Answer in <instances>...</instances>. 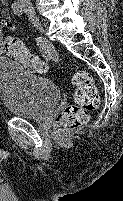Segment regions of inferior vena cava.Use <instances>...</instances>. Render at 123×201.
<instances>
[{
	"label": "inferior vena cava",
	"mask_w": 123,
	"mask_h": 201,
	"mask_svg": "<svg viewBox=\"0 0 123 201\" xmlns=\"http://www.w3.org/2000/svg\"><path fill=\"white\" fill-rule=\"evenodd\" d=\"M20 2H21L23 5H26V6H30V5H31L30 0H20Z\"/></svg>",
	"instance_id": "inferior-vena-cava-1"
}]
</instances>
